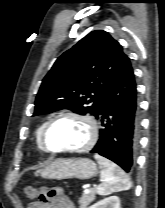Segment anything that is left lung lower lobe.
Instances as JSON below:
<instances>
[{"instance_id": "0a47b994", "label": "left lung lower lobe", "mask_w": 165, "mask_h": 208, "mask_svg": "<svg viewBox=\"0 0 165 208\" xmlns=\"http://www.w3.org/2000/svg\"><path fill=\"white\" fill-rule=\"evenodd\" d=\"M96 118L101 123L100 138L90 152L131 172L138 146L140 118L135 77L129 59L105 90Z\"/></svg>"}]
</instances>
